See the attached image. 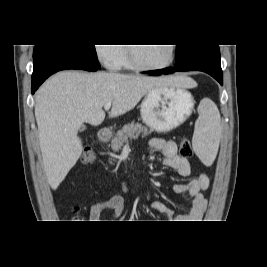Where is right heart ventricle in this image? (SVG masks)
<instances>
[{"label":"right heart ventricle","mask_w":267,"mask_h":267,"mask_svg":"<svg viewBox=\"0 0 267 267\" xmlns=\"http://www.w3.org/2000/svg\"><path fill=\"white\" fill-rule=\"evenodd\" d=\"M118 68H126V69H130L132 68V66L130 65V63L128 62L127 59V51L122 50L119 59H118V64H117Z\"/></svg>","instance_id":"1"}]
</instances>
